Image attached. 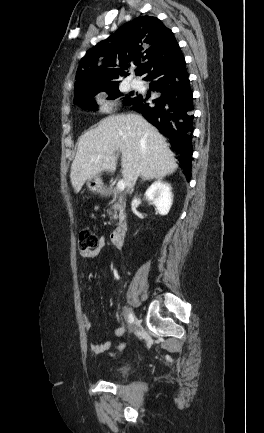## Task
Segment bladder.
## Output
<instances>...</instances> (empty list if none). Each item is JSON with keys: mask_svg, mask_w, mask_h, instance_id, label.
Segmentation results:
<instances>
[{"mask_svg": "<svg viewBox=\"0 0 264 433\" xmlns=\"http://www.w3.org/2000/svg\"><path fill=\"white\" fill-rule=\"evenodd\" d=\"M127 371H128V367H127V366H121V367H118V368L114 369V370L111 372V377H112V378H120V377H122L124 374H126Z\"/></svg>", "mask_w": 264, "mask_h": 433, "instance_id": "bladder-1", "label": "bladder"}]
</instances>
